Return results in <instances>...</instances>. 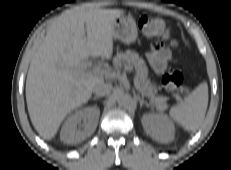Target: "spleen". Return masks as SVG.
I'll return each instance as SVG.
<instances>
[{"instance_id": "3e777b00", "label": "spleen", "mask_w": 231, "mask_h": 170, "mask_svg": "<svg viewBox=\"0 0 231 170\" xmlns=\"http://www.w3.org/2000/svg\"><path fill=\"white\" fill-rule=\"evenodd\" d=\"M208 105V86L200 84L183 101L170 109L171 118L187 131H195L202 124Z\"/></svg>"}]
</instances>
